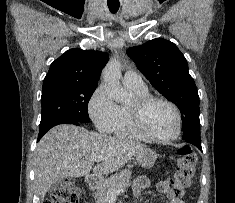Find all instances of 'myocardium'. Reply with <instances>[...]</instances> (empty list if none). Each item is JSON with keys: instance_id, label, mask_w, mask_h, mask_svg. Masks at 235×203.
<instances>
[{"instance_id": "obj_1", "label": "myocardium", "mask_w": 235, "mask_h": 203, "mask_svg": "<svg viewBox=\"0 0 235 203\" xmlns=\"http://www.w3.org/2000/svg\"><path fill=\"white\" fill-rule=\"evenodd\" d=\"M155 102H163L170 106L175 113L176 117V130L174 134L169 137H156L150 134L143 123V113L144 110ZM128 113L131 124L134 130L145 140L155 142V143H169L176 140L182 131V115L178 106L171 100L162 96H139L134 100V103L128 106Z\"/></svg>"}]
</instances>
